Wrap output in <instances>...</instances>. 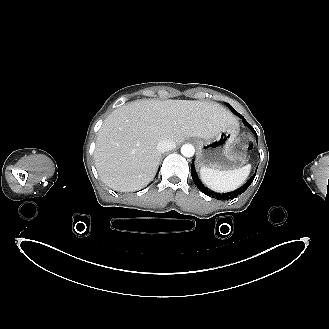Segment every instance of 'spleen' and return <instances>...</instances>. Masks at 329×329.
I'll return each instance as SVG.
<instances>
[{
    "instance_id": "3e777b00",
    "label": "spleen",
    "mask_w": 329,
    "mask_h": 329,
    "mask_svg": "<svg viewBox=\"0 0 329 329\" xmlns=\"http://www.w3.org/2000/svg\"><path fill=\"white\" fill-rule=\"evenodd\" d=\"M250 170V164L229 171L201 168L200 177L203 183L210 189L217 192H229L237 189L245 182L249 176Z\"/></svg>"
}]
</instances>
